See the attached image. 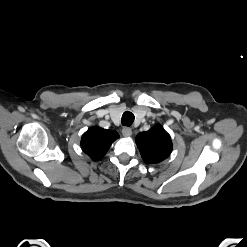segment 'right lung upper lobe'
<instances>
[{
  "mask_svg": "<svg viewBox=\"0 0 247 247\" xmlns=\"http://www.w3.org/2000/svg\"><path fill=\"white\" fill-rule=\"evenodd\" d=\"M118 138V133L113 130L92 127L83 134L81 147L93 160H98L106 154L111 144Z\"/></svg>",
  "mask_w": 247,
  "mask_h": 247,
  "instance_id": "obj_1",
  "label": "right lung upper lobe"
}]
</instances>
